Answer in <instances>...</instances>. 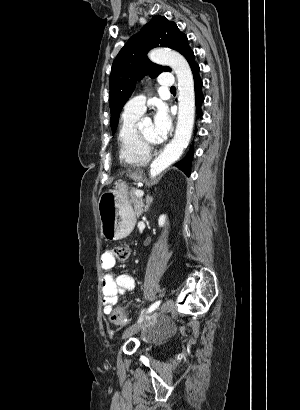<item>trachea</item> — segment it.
Here are the masks:
<instances>
[{
    "mask_svg": "<svg viewBox=\"0 0 300 410\" xmlns=\"http://www.w3.org/2000/svg\"><path fill=\"white\" fill-rule=\"evenodd\" d=\"M170 90H171V91H175L176 88H175V87H171Z\"/></svg>",
    "mask_w": 300,
    "mask_h": 410,
    "instance_id": "obj_1",
    "label": "trachea"
}]
</instances>
